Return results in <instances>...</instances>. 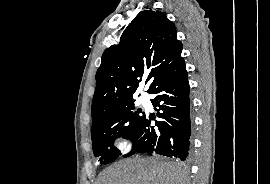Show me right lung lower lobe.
<instances>
[{"label": "right lung lower lobe", "instance_id": "1", "mask_svg": "<svg viewBox=\"0 0 270 184\" xmlns=\"http://www.w3.org/2000/svg\"><path fill=\"white\" fill-rule=\"evenodd\" d=\"M156 94L152 104L159 107L158 129L150 126L151 118H145L136 136L129 157L135 152L152 153L179 158L184 161L190 150L191 120L189 82L184 59L165 77L160 79L149 92Z\"/></svg>", "mask_w": 270, "mask_h": 184}]
</instances>
